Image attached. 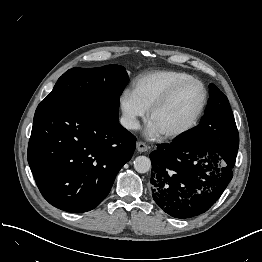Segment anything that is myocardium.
<instances>
[{
  "label": "myocardium",
  "mask_w": 262,
  "mask_h": 262,
  "mask_svg": "<svg viewBox=\"0 0 262 262\" xmlns=\"http://www.w3.org/2000/svg\"><path fill=\"white\" fill-rule=\"evenodd\" d=\"M190 84H197L198 86L201 87L202 89V99L200 102V105L196 111V113L193 115L191 120L182 128L172 131V132H167L163 133L162 137L166 140H174L178 139L187 133H189L199 122L201 119L203 112L205 110L206 104H207V99H208V92L206 87L202 82H200L197 79L190 78L184 81H181L174 85L170 90H168L156 103H154L148 112V119L151 120L152 117L162 108H164L172 99L173 97L184 87L190 85Z\"/></svg>",
  "instance_id": "f54148a6"
}]
</instances>
